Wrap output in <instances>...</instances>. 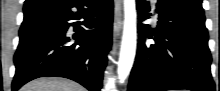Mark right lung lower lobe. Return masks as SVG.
Segmentation results:
<instances>
[{
  "instance_id": "obj_1",
  "label": "right lung lower lobe",
  "mask_w": 220,
  "mask_h": 91,
  "mask_svg": "<svg viewBox=\"0 0 220 91\" xmlns=\"http://www.w3.org/2000/svg\"><path fill=\"white\" fill-rule=\"evenodd\" d=\"M112 21V0H55L24 10L12 90L38 77L57 76L100 91Z\"/></svg>"
}]
</instances>
